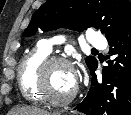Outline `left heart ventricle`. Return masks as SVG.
<instances>
[{"mask_svg":"<svg viewBox=\"0 0 131 115\" xmlns=\"http://www.w3.org/2000/svg\"><path fill=\"white\" fill-rule=\"evenodd\" d=\"M75 86L72 71L65 65L52 66L47 73V89L56 98L68 96Z\"/></svg>","mask_w":131,"mask_h":115,"instance_id":"1","label":"left heart ventricle"}]
</instances>
